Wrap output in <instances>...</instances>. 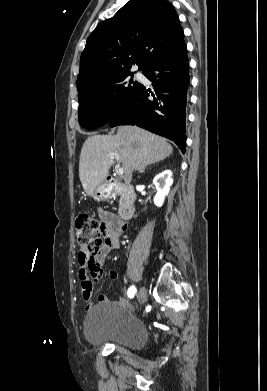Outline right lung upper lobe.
Returning a JSON list of instances; mask_svg holds the SVG:
<instances>
[{
    "mask_svg": "<svg viewBox=\"0 0 267 391\" xmlns=\"http://www.w3.org/2000/svg\"><path fill=\"white\" fill-rule=\"evenodd\" d=\"M175 8L167 0H130L90 34L80 59L78 93L106 76L144 70L184 45Z\"/></svg>",
    "mask_w": 267,
    "mask_h": 391,
    "instance_id": "1",
    "label": "right lung upper lobe"
}]
</instances>
